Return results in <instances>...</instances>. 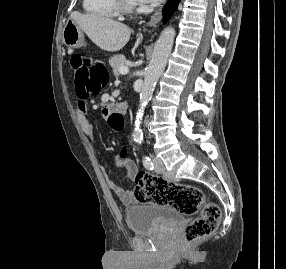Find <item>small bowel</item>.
<instances>
[{
    "label": "small bowel",
    "instance_id": "1",
    "mask_svg": "<svg viewBox=\"0 0 286 269\" xmlns=\"http://www.w3.org/2000/svg\"><path fill=\"white\" fill-rule=\"evenodd\" d=\"M99 105L100 110H102L100 111L101 120H110L111 115L113 114L112 110H109L108 105H104L103 101H100ZM75 113L83 133L88 137L93 138L94 128L87 116L88 107L85 100H80L77 103L75 107ZM116 163L126 167L128 171V181H133L135 179L136 175L138 174V167L129 155H118ZM104 177L108 187L121 200L123 204L129 205L137 201L133 190L126 189L117 185L106 172H104Z\"/></svg>",
    "mask_w": 286,
    "mask_h": 269
}]
</instances>
